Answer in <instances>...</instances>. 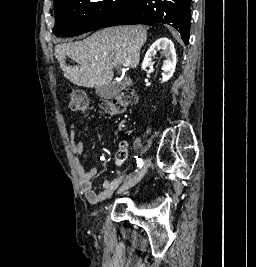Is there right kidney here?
Listing matches in <instances>:
<instances>
[{"mask_svg": "<svg viewBox=\"0 0 256 267\" xmlns=\"http://www.w3.org/2000/svg\"><path fill=\"white\" fill-rule=\"evenodd\" d=\"M157 52H163L166 56V60H164L162 66V82H167L169 78H172L177 62L174 44L171 40H168V38H159V40H156V42L152 44L151 48L146 52V56L142 62V70H145V68L151 64Z\"/></svg>", "mask_w": 256, "mask_h": 267, "instance_id": "ca27d5eb", "label": "right kidney"}]
</instances>
